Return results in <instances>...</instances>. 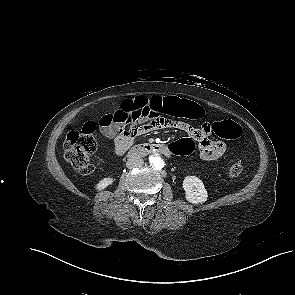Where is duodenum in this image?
<instances>
[{
	"label": "duodenum",
	"mask_w": 295,
	"mask_h": 295,
	"mask_svg": "<svg viewBox=\"0 0 295 295\" xmlns=\"http://www.w3.org/2000/svg\"><path fill=\"white\" fill-rule=\"evenodd\" d=\"M167 146L161 143H144V144H138L133 146L129 152L128 155L131 157H139V156H143L147 153L150 152H160L164 155H171V153H169L167 151Z\"/></svg>",
	"instance_id": "obj_1"
}]
</instances>
